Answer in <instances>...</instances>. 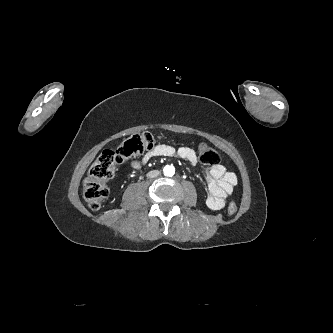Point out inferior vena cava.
Segmentation results:
<instances>
[{
  "label": "inferior vena cava",
  "instance_id": "inferior-vena-cava-1",
  "mask_svg": "<svg viewBox=\"0 0 333 333\" xmlns=\"http://www.w3.org/2000/svg\"><path fill=\"white\" fill-rule=\"evenodd\" d=\"M160 172L158 170H153L148 172L147 177L148 178H155L157 176H159Z\"/></svg>",
  "mask_w": 333,
  "mask_h": 333
}]
</instances>
